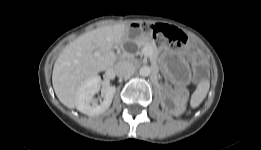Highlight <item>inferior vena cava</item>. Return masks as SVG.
<instances>
[{"mask_svg":"<svg viewBox=\"0 0 261 150\" xmlns=\"http://www.w3.org/2000/svg\"><path fill=\"white\" fill-rule=\"evenodd\" d=\"M114 70L119 77H129L134 74L135 66L128 61H119L115 64Z\"/></svg>","mask_w":261,"mask_h":150,"instance_id":"inferior-vena-cava-1","label":"inferior vena cava"}]
</instances>
